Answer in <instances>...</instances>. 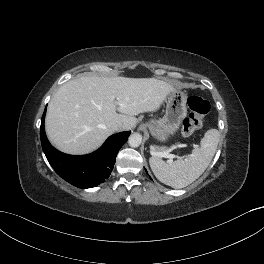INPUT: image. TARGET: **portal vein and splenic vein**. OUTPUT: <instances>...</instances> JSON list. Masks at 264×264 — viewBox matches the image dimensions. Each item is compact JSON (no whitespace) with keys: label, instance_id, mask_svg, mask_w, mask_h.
<instances>
[{"label":"portal vein and splenic vein","instance_id":"1","mask_svg":"<svg viewBox=\"0 0 264 264\" xmlns=\"http://www.w3.org/2000/svg\"><path fill=\"white\" fill-rule=\"evenodd\" d=\"M193 146H194V148L198 147L197 145H193ZM179 147H187V145L186 144H180ZM156 155L159 156V157L168 158L169 162H172L173 158H178L177 155L169 154L168 151L157 152Z\"/></svg>","mask_w":264,"mask_h":264}]
</instances>
